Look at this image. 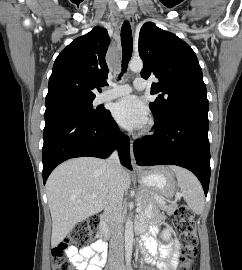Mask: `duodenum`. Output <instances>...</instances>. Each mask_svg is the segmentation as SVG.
<instances>
[{"label":"duodenum","instance_id":"1","mask_svg":"<svg viewBox=\"0 0 242 270\" xmlns=\"http://www.w3.org/2000/svg\"><path fill=\"white\" fill-rule=\"evenodd\" d=\"M110 218V214L108 212L103 213V215L100 218V234L102 238V242L105 245L103 247V251H106V242L110 239L111 233L108 226V219Z\"/></svg>","mask_w":242,"mask_h":270}]
</instances>
